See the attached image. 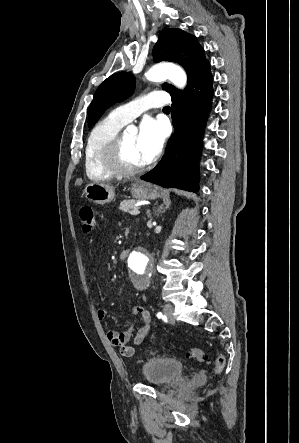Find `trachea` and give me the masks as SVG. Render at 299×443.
Masks as SVG:
<instances>
[{
	"mask_svg": "<svg viewBox=\"0 0 299 443\" xmlns=\"http://www.w3.org/2000/svg\"><path fill=\"white\" fill-rule=\"evenodd\" d=\"M164 110H170L169 106L164 107Z\"/></svg>",
	"mask_w": 299,
	"mask_h": 443,
	"instance_id": "trachea-1",
	"label": "trachea"
}]
</instances>
